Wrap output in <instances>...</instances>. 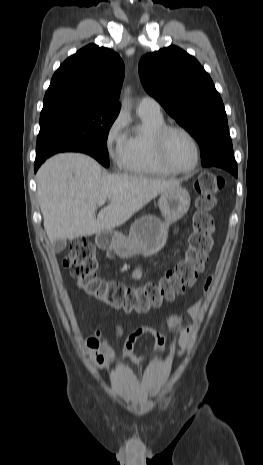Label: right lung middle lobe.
<instances>
[{
    "label": "right lung middle lobe",
    "mask_w": 263,
    "mask_h": 465,
    "mask_svg": "<svg viewBox=\"0 0 263 465\" xmlns=\"http://www.w3.org/2000/svg\"><path fill=\"white\" fill-rule=\"evenodd\" d=\"M118 109L77 102L44 104L36 144V162L64 151L83 152L108 167L107 137Z\"/></svg>",
    "instance_id": "obj_1"
}]
</instances>
